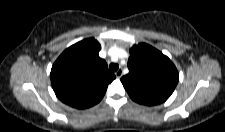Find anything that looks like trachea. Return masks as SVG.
<instances>
[{
  "label": "trachea",
  "mask_w": 225,
  "mask_h": 132,
  "mask_svg": "<svg viewBox=\"0 0 225 132\" xmlns=\"http://www.w3.org/2000/svg\"><path fill=\"white\" fill-rule=\"evenodd\" d=\"M118 68H119V65L116 64V63H111L110 66H109V69H110L112 72L117 71Z\"/></svg>",
  "instance_id": "3493384b"
}]
</instances>
